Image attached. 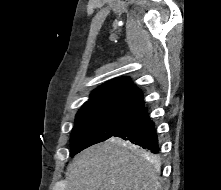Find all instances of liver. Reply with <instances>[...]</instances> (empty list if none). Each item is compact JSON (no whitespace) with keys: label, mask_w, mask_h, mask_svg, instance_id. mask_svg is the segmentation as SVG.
<instances>
[{"label":"liver","mask_w":221,"mask_h":190,"mask_svg":"<svg viewBox=\"0 0 221 190\" xmlns=\"http://www.w3.org/2000/svg\"><path fill=\"white\" fill-rule=\"evenodd\" d=\"M156 160L121 139L91 146L68 165V190H160Z\"/></svg>","instance_id":"6515ba94"}]
</instances>
